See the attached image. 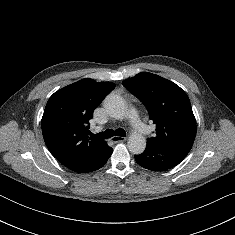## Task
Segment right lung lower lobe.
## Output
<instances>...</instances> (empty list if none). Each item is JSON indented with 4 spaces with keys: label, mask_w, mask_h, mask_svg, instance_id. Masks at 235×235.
Wrapping results in <instances>:
<instances>
[{
    "label": "right lung lower lobe",
    "mask_w": 235,
    "mask_h": 235,
    "mask_svg": "<svg viewBox=\"0 0 235 235\" xmlns=\"http://www.w3.org/2000/svg\"><path fill=\"white\" fill-rule=\"evenodd\" d=\"M112 152L113 149L106 144L79 173L92 172L101 168L107 162Z\"/></svg>",
    "instance_id": "98d812e1"
}]
</instances>
